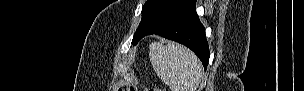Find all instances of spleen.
<instances>
[{
	"instance_id": "1",
	"label": "spleen",
	"mask_w": 304,
	"mask_h": 91,
	"mask_svg": "<svg viewBox=\"0 0 304 91\" xmlns=\"http://www.w3.org/2000/svg\"><path fill=\"white\" fill-rule=\"evenodd\" d=\"M150 61L156 74L171 91H196L203 72L196 55L177 43L150 45Z\"/></svg>"
}]
</instances>
